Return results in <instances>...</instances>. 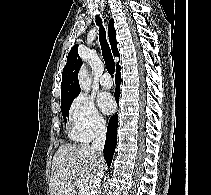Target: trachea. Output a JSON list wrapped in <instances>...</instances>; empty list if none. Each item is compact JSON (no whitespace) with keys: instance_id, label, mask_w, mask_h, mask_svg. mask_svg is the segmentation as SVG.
I'll return each mask as SVG.
<instances>
[{"instance_id":"1","label":"trachea","mask_w":211,"mask_h":195,"mask_svg":"<svg viewBox=\"0 0 211 195\" xmlns=\"http://www.w3.org/2000/svg\"><path fill=\"white\" fill-rule=\"evenodd\" d=\"M96 24L99 26V40L101 44V49L103 52V58L105 61L106 69L110 74H114L115 71V62L109 48V45L106 41V32L105 28L102 25V19L99 15H96Z\"/></svg>"}]
</instances>
